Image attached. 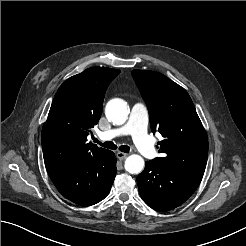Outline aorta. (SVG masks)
<instances>
[{
	"mask_svg": "<svg viewBox=\"0 0 246 246\" xmlns=\"http://www.w3.org/2000/svg\"><path fill=\"white\" fill-rule=\"evenodd\" d=\"M105 113L109 121L122 125L128 118L127 103L122 99H112L107 103ZM144 165V159L140 155L132 154L126 158L124 167L130 174H139L144 169Z\"/></svg>",
	"mask_w": 246,
	"mask_h": 246,
	"instance_id": "762f6f07",
	"label": "aorta"
}]
</instances>
